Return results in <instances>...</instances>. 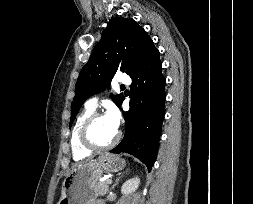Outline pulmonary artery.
Masks as SVG:
<instances>
[{"label": "pulmonary artery", "instance_id": "1", "mask_svg": "<svg viewBox=\"0 0 253 204\" xmlns=\"http://www.w3.org/2000/svg\"><path fill=\"white\" fill-rule=\"evenodd\" d=\"M131 82L130 80V77L125 74V73H122L119 75L118 79H117V83L119 85H129ZM98 100H99V97L98 96H93V97H90L86 103H85V106L86 107H89V108H92V109H95L97 107V104H98Z\"/></svg>", "mask_w": 253, "mask_h": 204}]
</instances>
